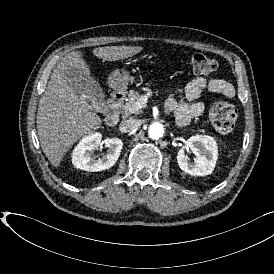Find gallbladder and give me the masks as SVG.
<instances>
[{"label": "gallbladder", "instance_id": "gallbladder-1", "mask_svg": "<svg viewBox=\"0 0 274 274\" xmlns=\"http://www.w3.org/2000/svg\"><path fill=\"white\" fill-rule=\"evenodd\" d=\"M65 79L68 84L73 86L78 96H83V100L92 114L101 116L106 113L108 104L99 82L77 67L68 69Z\"/></svg>", "mask_w": 274, "mask_h": 274}]
</instances>
